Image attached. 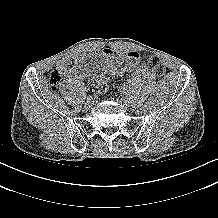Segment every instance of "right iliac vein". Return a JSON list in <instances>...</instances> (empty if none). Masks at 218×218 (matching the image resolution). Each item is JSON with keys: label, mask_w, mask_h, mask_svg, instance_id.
Instances as JSON below:
<instances>
[{"label": "right iliac vein", "mask_w": 218, "mask_h": 218, "mask_svg": "<svg viewBox=\"0 0 218 218\" xmlns=\"http://www.w3.org/2000/svg\"><path fill=\"white\" fill-rule=\"evenodd\" d=\"M94 103H95V98L93 97L91 100H89L88 98H87V100L85 101V104H84V108L85 109H90V108H92V106L94 105Z\"/></svg>", "instance_id": "right-iliac-vein-1"}]
</instances>
